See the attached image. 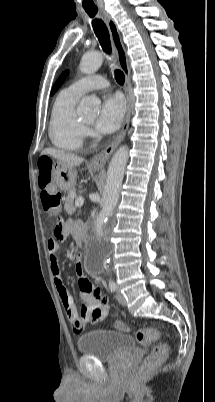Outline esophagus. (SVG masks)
<instances>
[{"instance_id": "obj_1", "label": "esophagus", "mask_w": 215, "mask_h": 402, "mask_svg": "<svg viewBox=\"0 0 215 402\" xmlns=\"http://www.w3.org/2000/svg\"><path fill=\"white\" fill-rule=\"evenodd\" d=\"M101 14L108 26L109 32H110L118 65L120 66L121 70L123 71V73L125 75L124 90H125V95H126V100H127V113H126L122 128H121L119 134L117 135V137L104 150H102L100 153L96 154L90 160V165L95 168H103L105 166L106 162L111 157L114 150L123 141V139L126 135V132L128 130V127H129V118H130V114H131L130 70H129L128 59H127V55H126V50H125L120 32L118 30V27H117L115 21L104 10L101 11Z\"/></svg>"}]
</instances>
